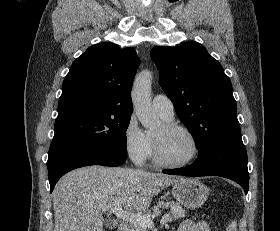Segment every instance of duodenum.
Segmentation results:
<instances>
[{
  "label": "duodenum",
  "mask_w": 280,
  "mask_h": 231,
  "mask_svg": "<svg viewBox=\"0 0 280 231\" xmlns=\"http://www.w3.org/2000/svg\"><path fill=\"white\" fill-rule=\"evenodd\" d=\"M117 231H129V227L125 222H121L117 227Z\"/></svg>",
  "instance_id": "duodenum-1"
}]
</instances>
